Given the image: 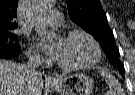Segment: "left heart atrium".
<instances>
[{"label":"left heart atrium","mask_w":135,"mask_h":95,"mask_svg":"<svg viewBox=\"0 0 135 95\" xmlns=\"http://www.w3.org/2000/svg\"><path fill=\"white\" fill-rule=\"evenodd\" d=\"M40 47L50 56L52 59L58 60L61 52L62 41L56 40L53 43L40 42Z\"/></svg>","instance_id":"1"}]
</instances>
